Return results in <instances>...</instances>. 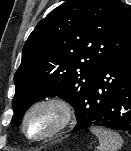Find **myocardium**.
<instances>
[{
  "instance_id": "myocardium-1",
  "label": "myocardium",
  "mask_w": 131,
  "mask_h": 151,
  "mask_svg": "<svg viewBox=\"0 0 131 151\" xmlns=\"http://www.w3.org/2000/svg\"><path fill=\"white\" fill-rule=\"evenodd\" d=\"M44 108L54 110L57 113V122L47 133L38 137L30 136L26 129L28 118L37 110ZM72 119L73 107L71 103L62 96L49 95L36 100L27 108L22 117L21 130L28 140L32 142H44L62 133L70 125Z\"/></svg>"
}]
</instances>
